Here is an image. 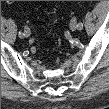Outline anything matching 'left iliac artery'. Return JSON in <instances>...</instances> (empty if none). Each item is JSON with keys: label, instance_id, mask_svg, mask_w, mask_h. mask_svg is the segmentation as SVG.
Returning a JSON list of instances; mask_svg holds the SVG:
<instances>
[{"label": "left iliac artery", "instance_id": "obj_1", "mask_svg": "<svg viewBox=\"0 0 109 109\" xmlns=\"http://www.w3.org/2000/svg\"><path fill=\"white\" fill-rule=\"evenodd\" d=\"M77 26H78V30H82V28H83V23H82V22H79Z\"/></svg>", "mask_w": 109, "mask_h": 109}]
</instances>
